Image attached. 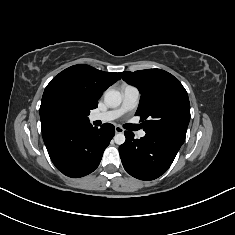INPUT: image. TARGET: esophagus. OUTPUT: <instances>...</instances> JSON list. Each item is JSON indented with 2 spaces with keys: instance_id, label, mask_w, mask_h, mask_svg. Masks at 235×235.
<instances>
[{
  "instance_id": "1",
  "label": "esophagus",
  "mask_w": 235,
  "mask_h": 235,
  "mask_svg": "<svg viewBox=\"0 0 235 235\" xmlns=\"http://www.w3.org/2000/svg\"><path fill=\"white\" fill-rule=\"evenodd\" d=\"M115 132H116V133H123L124 130H123V128L120 127V126H115Z\"/></svg>"
}]
</instances>
